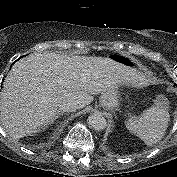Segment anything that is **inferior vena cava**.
Returning a JSON list of instances; mask_svg holds the SVG:
<instances>
[{
	"label": "inferior vena cava",
	"mask_w": 177,
	"mask_h": 177,
	"mask_svg": "<svg viewBox=\"0 0 177 177\" xmlns=\"http://www.w3.org/2000/svg\"><path fill=\"white\" fill-rule=\"evenodd\" d=\"M77 109H79V105L73 101H64L59 106V110L62 112H73Z\"/></svg>",
	"instance_id": "inferior-vena-cava-1"
}]
</instances>
